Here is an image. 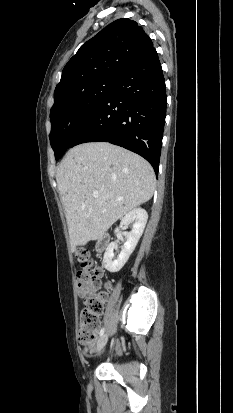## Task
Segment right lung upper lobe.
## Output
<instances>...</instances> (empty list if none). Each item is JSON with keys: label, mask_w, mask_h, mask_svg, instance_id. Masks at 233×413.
I'll return each instance as SVG.
<instances>
[{"label": "right lung upper lobe", "mask_w": 233, "mask_h": 413, "mask_svg": "<svg viewBox=\"0 0 233 413\" xmlns=\"http://www.w3.org/2000/svg\"><path fill=\"white\" fill-rule=\"evenodd\" d=\"M152 47L151 39L135 21L112 22L85 42L65 65L54 100L97 79L116 78Z\"/></svg>", "instance_id": "obj_1"}]
</instances>
